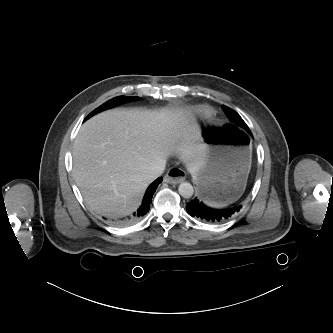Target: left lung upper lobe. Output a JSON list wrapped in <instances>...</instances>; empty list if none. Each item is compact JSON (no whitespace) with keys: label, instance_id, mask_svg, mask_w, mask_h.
<instances>
[{"label":"left lung upper lobe","instance_id":"left-lung-upper-lobe-1","mask_svg":"<svg viewBox=\"0 0 333 333\" xmlns=\"http://www.w3.org/2000/svg\"><path fill=\"white\" fill-rule=\"evenodd\" d=\"M227 117L229 118V120L231 121V125L237 129V131H240L243 134H247L250 133V129L248 128V126L246 125V123L243 121V119L240 117V115L235 112L234 110H232L231 108L223 105L222 106Z\"/></svg>","mask_w":333,"mask_h":333}]
</instances>
